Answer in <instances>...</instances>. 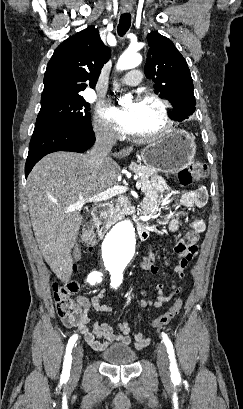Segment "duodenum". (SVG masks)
<instances>
[{
  "instance_id": "duodenum-1",
  "label": "duodenum",
  "mask_w": 243,
  "mask_h": 409,
  "mask_svg": "<svg viewBox=\"0 0 243 409\" xmlns=\"http://www.w3.org/2000/svg\"><path fill=\"white\" fill-rule=\"evenodd\" d=\"M92 222L96 228L99 238H103L112 226L113 220L107 215V204L100 203L94 206L92 210ZM138 235L141 240H145L149 235V227L142 221L137 225Z\"/></svg>"
}]
</instances>
